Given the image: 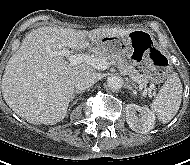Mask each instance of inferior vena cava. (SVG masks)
<instances>
[{
	"label": "inferior vena cava",
	"instance_id": "602c4592",
	"mask_svg": "<svg viewBox=\"0 0 190 165\" xmlns=\"http://www.w3.org/2000/svg\"><path fill=\"white\" fill-rule=\"evenodd\" d=\"M99 80V74L93 71H84L80 73L75 80V87L80 90L90 88L95 82Z\"/></svg>",
	"mask_w": 190,
	"mask_h": 165
}]
</instances>
